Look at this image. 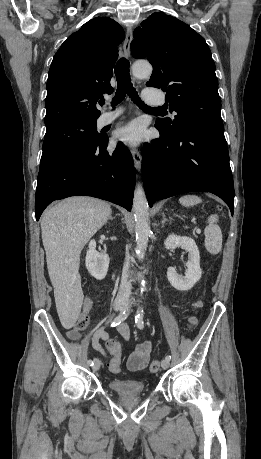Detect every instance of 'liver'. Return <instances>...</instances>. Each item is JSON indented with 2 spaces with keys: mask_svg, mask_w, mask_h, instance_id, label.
<instances>
[{
  "mask_svg": "<svg viewBox=\"0 0 261 459\" xmlns=\"http://www.w3.org/2000/svg\"><path fill=\"white\" fill-rule=\"evenodd\" d=\"M111 212L110 205L102 200L74 196L52 206L42 216L48 273L57 312L65 328L75 325L83 301L78 273L81 251L107 222Z\"/></svg>",
  "mask_w": 261,
  "mask_h": 459,
  "instance_id": "6515ba94",
  "label": "liver"
}]
</instances>
